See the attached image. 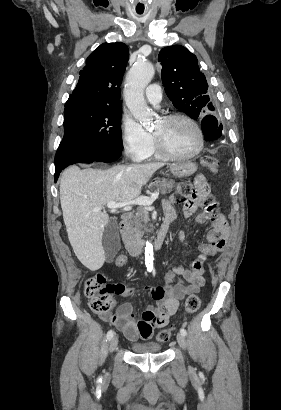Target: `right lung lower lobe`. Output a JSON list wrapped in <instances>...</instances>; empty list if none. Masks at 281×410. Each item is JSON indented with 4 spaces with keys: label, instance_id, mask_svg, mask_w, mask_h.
<instances>
[{
    "label": "right lung lower lobe",
    "instance_id": "98d812e1",
    "mask_svg": "<svg viewBox=\"0 0 281 410\" xmlns=\"http://www.w3.org/2000/svg\"><path fill=\"white\" fill-rule=\"evenodd\" d=\"M121 155V151L112 150H91L73 152L64 155L59 160L55 161V182L58 179L60 172L69 165L84 162H113Z\"/></svg>",
    "mask_w": 281,
    "mask_h": 410
}]
</instances>
